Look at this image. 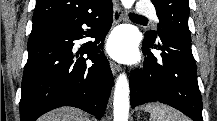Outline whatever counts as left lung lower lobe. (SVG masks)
<instances>
[{
	"label": "left lung lower lobe",
	"instance_id": "1",
	"mask_svg": "<svg viewBox=\"0 0 217 121\" xmlns=\"http://www.w3.org/2000/svg\"><path fill=\"white\" fill-rule=\"evenodd\" d=\"M143 69L130 75L131 107L148 102L170 105L194 121L202 119V99L191 42L164 30L159 41L145 37ZM150 48L161 50L154 56Z\"/></svg>",
	"mask_w": 217,
	"mask_h": 121
}]
</instances>
